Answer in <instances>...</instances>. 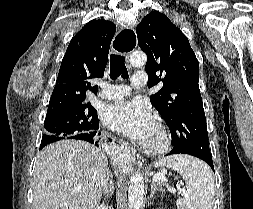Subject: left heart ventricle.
Instances as JSON below:
<instances>
[{
	"label": "left heart ventricle",
	"mask_w": 253,
	"mask_h": 209,
	"mask_svg": "<svg viewBox=\"0 0 253 209\" xmlns=\"http://www.w3.org/2000/svg\"><path fill=\"white\" fill-rule=\"evenodd\" d=\"M159 139H160V133H159L158 128L154 124L152 130L150 131L149 135L144 141L149 144H156L159 142Z\"/></svg>",
	"instance_id": "1"
}]
</instances>
